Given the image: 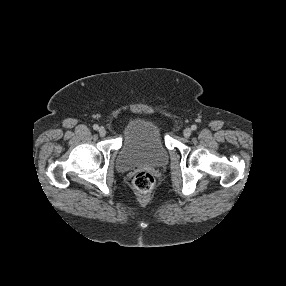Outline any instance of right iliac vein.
Wrapping results in <instances>:
<instances>
[{
  "instance_id": "63e3f726",
  "label": "right iliac vein",
  "mask_w": 286,
  "mask_h": 286,
  "mask_svg": "<svg viewBox=\"0 0 286 286\" xmlns=\"http://www.w3.org/2000/svg\"><path fill=\"white\" fill-rule=\"evenodd\" d=\"M98 133L101 137H104L106 135V129L104 127H100L98 129Z\"/></svg>"
}]
</instances>
